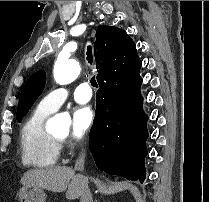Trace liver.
Instances as JSON below:
<instances>
[{"label":"liver","mask_w":209,"mask_h":202,"mask_svg":"<svg viewBox=\"0 0 209 202\" xmlns=\"http://www.w3.org/2000/svg\"><path fill=\"white\" fill-rule=\"evenodd\" d=\"M23 186H33L52 192L66 191L69 200L78 199L88 183V179L80 174H75L71 167L57 166L49 168L32 169L21 178Z\"/></svg>","instance_id":"obj_1"}]
</instances>
